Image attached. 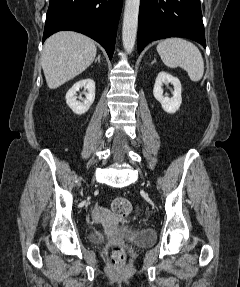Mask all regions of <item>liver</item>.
<instances>
[{
  "label": "liver",
  "mask_w": 240,
  "mask_h": 287,
  "mask_svg": "<svg viewBox=\"0 0 240 287\" xmlns=\"http://www.w3.org/2000/svg\"><path fill=\"white\" fill-rule=\"evenodd\" d=\"M96 53L94 41L83 34L62 31L50 36L41 56L48 87L56 89L82 73L91 65Z\"/></svg>",
  "instance_id": "obj_1"
}]
</instances>
